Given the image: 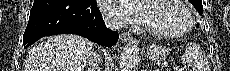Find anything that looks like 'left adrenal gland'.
<instances>
[{"instance_id": "1", "label": "left adrenal gland", "mask_w": 230, "mask_h": 71, "mask_svg": "<svg viewBox=\"0 0 230 71\" xmlns=\"http://www.w3.org/2000/svg\"><path fill=\"white\" fill-rule=\"evenodd\" d=\"M148 67H149V64H147V66H146V70H145V71H148V69H147Z\"/></svg>"}]
</instances>
